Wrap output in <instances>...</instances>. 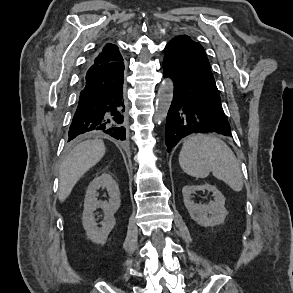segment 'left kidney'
<instances>
[{
    "instance_id": "obj_1",
    "label": "left kidney",
    "mask_w": 293,
    "mask_h": 293,
    "mask_svg": "<svg viewBox=\"0 0 293 293\" xmlns=\"http://www.w3.org/2000/svg\"><path fill=\"white\" fill-rule=\"evenodd\" d=\"M207 190L212 192L214 200L209 204H197L191 200V195L196 191ZM183 202L190 217L199 225L213 227L224 223L228 214L225 208V197L213 185H186L182 188Z\"/></svg>"
}]
</instances>
